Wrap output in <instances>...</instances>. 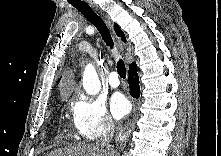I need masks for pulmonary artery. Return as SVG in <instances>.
I'll use <instances>...</instances> for the list:
<instances>
[{
    "mask_svg": "<svg viewBox=\"0 0 221 156\" xmlns=\"http://www.w3.org/2000/svg\"><path fill=\"white\" fill-rule=\"evenodd\" d=\"M108 82H109V85L113 88H116L119 86L120 81H119L117 72L113 71L110 73Z\"/></svg>",
    "mask_w": 221,
    "mask_h": 156,
    "instance_id": "obj_1",
    "label": "pulmonary artery"
}]
</instances>
